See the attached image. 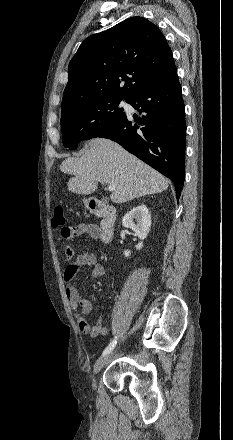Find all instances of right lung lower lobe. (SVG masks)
I'll list each match as a JSON object with an SVG mask.
<instances>
[{
	"label": "right lung lower lobe",
	"instance_id": "obj_1",
	"mask_svg": "<svg viewBox=\"0 0 233 440\" xmlns=\"http://www.w3.org/2000/svg\"><path fill=\"white\" fill-rule=\"evenodd\" d=\"M141 113L134 122L125 114L100 137L111 139L170 178L176 196L184 183L185 106L177 69L137 90L128 102Z\"/></svg>",
	"mask_w": 233,
	"mask_h": 440
}]
</instances>
